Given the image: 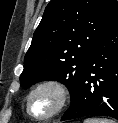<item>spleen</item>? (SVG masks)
Returning a JSON list of instances; mask_svg holds the SVG:
<instances>
[{
  "instance_id": "obj_1",
  "label": "spleen",
  "mask_w": 118,
  "mask_h": 123,
  "mask_svg": "<svg viewBox=\"0 0 118 123\" xmlns=\"http://www.w3.org/2000/svg\"><path fill=\"white\" fill-rule=\"evenodd\" d=\"M84 123H116V122L107 118H87L84 120Z\"/></svg>"
}]
</instances>
